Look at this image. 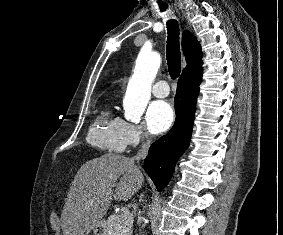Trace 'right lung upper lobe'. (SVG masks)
<instances>
[{
    "instance_id": "1",
    "label": "right lung upper lobe",
    "mask_w": 283,
    "mask_h": 235,
    "mask_svg": "<svg viewBox=\"0 0 283 235\" xmlns=\"http://www.w3.org/2000/svg\"><path fill=\"white\" fill-rule=\"evenodd\" d=\"M182 48L186 57L187 66L184 68L181 76L189 77L202 72V52L196 38L185 31L182 38Z\"/></svg>"
}]
</instances>
